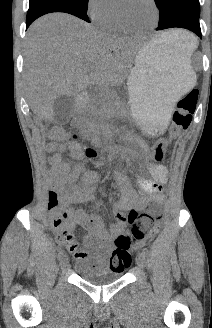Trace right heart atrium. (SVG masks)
<instances>
[{"instance_id": "obj_1", "label": "right heart atrium", "mask_w": 212, "mask_h": 328, "mask_svg": "<svg viewBox=\"0 0 212 328\" xmlns=\"http://www.w3.org/2000/svg\"><path fill=\"white\" fill-rule=\"evenodd\" d=\"M114 7L113 0H87L86 3L87 14L96 23L114 12Z\"/></svg>"}]
</instances>
